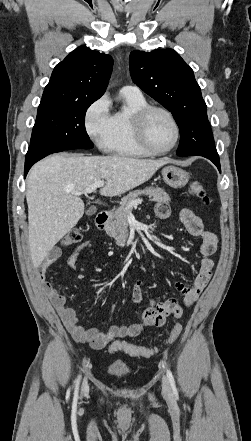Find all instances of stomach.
Instances as JSON below:
<instances>
[{"instance_id": "0dacf381", "label": "stomach", "mask_w": 251, "mask_h": 441, "mask_svg": "<svg viewBox=\"0 0 251 441\" xmlns=\"http://www.w3.org/2000/svg\"><path fill=\"white\" fill-rule=\"evenodd\" d=\"M164 182L172 188L178 189L184 187L189 180V174L176 166H166L162 169Z\"/></svg>"}]
</instances>
